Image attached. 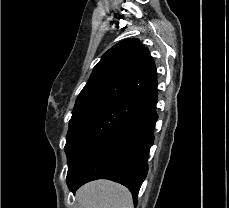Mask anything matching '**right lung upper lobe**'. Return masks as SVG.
Returning <instances> with one entry per match:
<instances>
[{
  "label": "right lung upper lobe",
  "instance_id": "obj_1",
  "mask_svg": "<svg viewBox=\"0 0 229 208\" xmlns=\"http://www.w3.org/2000/svg\"><path fill=\"white\" fill-rule=\"evenodd\" d=\"M108 96L127 98L146 107L157 100L156 67L138 39L120 41L102 56L75 106Z\"/></svg>",
  "mask_w": 229,
  "mask_h": 208
}]
</instances>
